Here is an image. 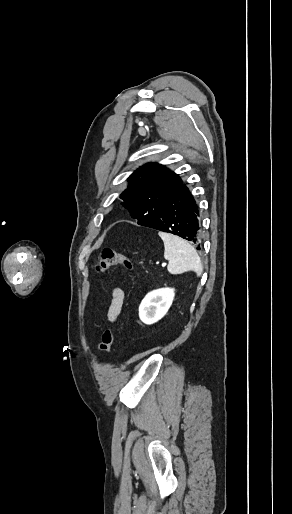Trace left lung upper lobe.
I'll return each mask as SVG.
<instances>
[{
  "instance_id": "5c2ea615",
  "label": "left lung upper lobe",
  "mask_w": 292,
  "mask_h": 514,
  "mask_svg": "<svg viewBox=\"0 0 292 514\" xmlns=\"http://www.w3.org/2000/svg\"><path fill=\"white\" fill-rule=\"evenodd\" d=\"M128 187L120 198L139 225L145 226L162 211L171 196L183 185L173 171L158 163H147L127 179Z\"/></svg>"
}]
</instances>
